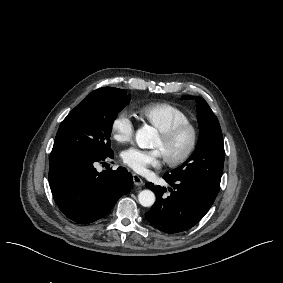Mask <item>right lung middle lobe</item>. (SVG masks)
Here are the masks:
<instances>
[{
    "instance_id": "1",
    "label": "right lung middle lobe",
    "mask_w": 283,
    "mask_h": 283,
    "mask_svg": "<svg viewBox=\"0 0 283 283\" xmlns=\"http://www.w3.org/2000/svg\"><path fill=\"white\" fill-rule=\"evenodd\" d=\"M127 103L129 96L123 89L103 87L90 93L61 123L50 159L74 154H112V125Z\"/></svg>"
}]
</instances>
